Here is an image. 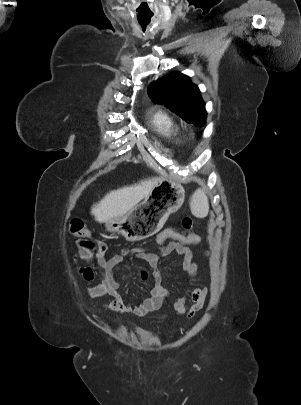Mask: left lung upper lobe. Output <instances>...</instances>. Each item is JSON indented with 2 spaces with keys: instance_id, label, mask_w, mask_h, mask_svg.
I'll return each instance as SVG.
<instances>
[{
  "instance_id": "left-lung-upper-lobe-1",
  "label": "left lung upper lobe",
  "mask_w": 301,
  "mask_h": 405,
  "mask_svg": "<svg viewBox=\"0 0 301 405\" xmlns=\"http://www.w3.org/2000/svg\"><path fill=\"white\" fill-rule=\"evenodd\" d=\"M148 92L154 103L165 104L188 123L205 125V103L197 85L189 77L179 72L170 73L152 82Z\"/></svg>"
}]
</instances>
